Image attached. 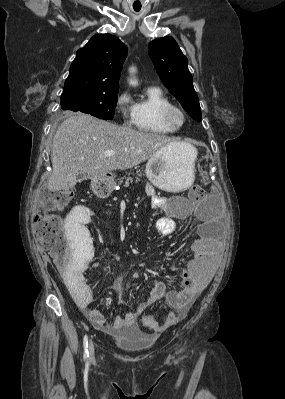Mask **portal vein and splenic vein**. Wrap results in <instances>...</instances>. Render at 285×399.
<instances>
[{"instance_id":"18ae733b","label":"portal vein and splenic vein","mask_w":285,"mask_h":399,"mask_svg":"<svg viewBox=\"0 0 285 399\" xmlns=\"http://www.w3.org/2000/svg\"><path fill=\"white\" fill-rule=\"evenodd\" d=\"M116 154V152H114V151H106L105 153H104V157H112V156H114Z\"/></svg>"}]
</instances>
